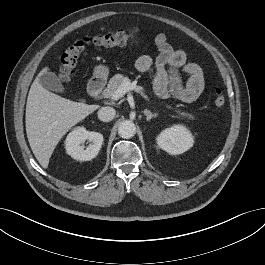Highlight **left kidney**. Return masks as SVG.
Listing matches in <instances>:
<instances>
[{
    "instance_id": "1",
    "label": "left kidney",
    "mask_w": 265,
    "mask_h": 265,
    "mask_svg": "<svg viewBox=\"0 0 265 265\" xmlns=\"http://www.w3.org/2000/svg\"><path fill=\"white\" fill-rule=\"evenodd\" d=\"M158 146L171 155L182 154L194 144V137L183 125H174L163 130L157 137Z\"/></svg>"
}]
</instances>
